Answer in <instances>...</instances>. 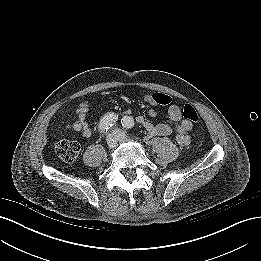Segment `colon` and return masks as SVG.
Returning a JSON list of instances; mask_svg holds the SVG:
<instances>
[{"instance_id":"colon-1","label":"colon","mask_w":261,"mask_h":261,"mask_svg":"<svg viewBox=\"0 0 261 261\" xmlns=\"http://www.w3.org/2000/svg\"><path fill=\"white\" fill-rule=\"evenodd\" d=\"M154 97L160 104H168L172 101V98L169 95L159 92L154 93ZM183 116L192 124L200 126L199 113L191 104L184 105ZM69 128L73 131H79L81 129V125L78 121H75L69 125ZM55 150L61 160L70 164L76 161L80 152V146L76 142L60 141L57 143Z\"/></svg>"}]
</instances>
